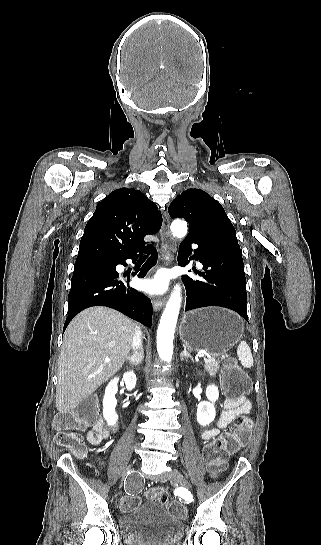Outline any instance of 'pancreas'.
Returning a JSON list of instances; mask_svg holds the SVG:
<instances>
[{
	"label": "pancreas",
	"instance_id": "1",
	"mask_svg": "<svg viewBox=\"0 0 321 545\" xmlns=\"http://www.w3.org/2000/svg\"><path fill=\"white\" fill-rule=\"evenodd\" d=\"M219 367L220 361H214V359H208V361H205L204 363V369L209 373L210 377H216Z\"/></svg>",
	"mask_w": 321,
	"mask_h": 545
}]
</instances>
